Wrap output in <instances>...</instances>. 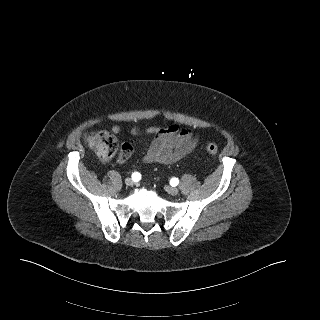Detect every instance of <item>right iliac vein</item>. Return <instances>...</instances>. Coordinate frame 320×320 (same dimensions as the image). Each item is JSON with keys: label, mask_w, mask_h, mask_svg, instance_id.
I'll return each mask as SVG.
<instances>
[{"label": "right iliac vein", "mask_w": 320, "mask_h": 320, "mask_svg": "<svg viewBox=\"0 0 320 320\" xmlns=\"http://www.w3.org/2000/svg\"><path fill=\"white\" fill-rule=\"evenodd\" d=\"M125 184L127 185V186H133V184H134V181H133V179L132 178H126L125 179Z\"/></svg>", "instance_id": "right-iliac-vein-1"}]
</instances>
